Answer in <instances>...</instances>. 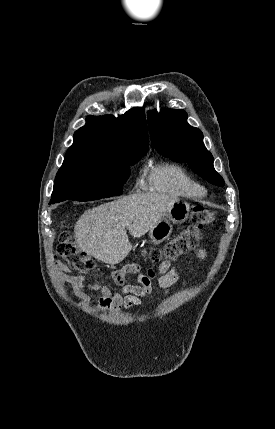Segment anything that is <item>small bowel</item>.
I'll list each match as a JSON object with an SVG mask.
<instances>
[{
    "instance_id": "c3829d8e",
    "label": "small bowel",
    "mask_w": 275,
    "mask_h": 429,
    "mask_svg": "<svg viewBox=\"0 0 275 429\" xmlns=\"http://www.w3.org/2000/svg\"><path fill=\"white\" fill-rule=\"evenodd\" d=\"M199 259L204 258L205 251L199 248L196 252ZM191 266L188 265L186 269ZM59 279L62 283L71 285L80 303L87 301L86 289L100 292V307L104 311H118L121 308L132 310L144 303L150 296L154 285L167 290L180 278L181 270L171 265L169 261H164L160 267L158 275L153 270H148L146 274H140V266L136 263L125 265L120 271L114 273L115 282L121 287L120 292H113L107 286L94 282L88 284L82 275H72L65 265L59 264ZM137 274V285L126 282V275Z\"/></svg>"
}]
</instances>
